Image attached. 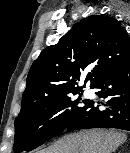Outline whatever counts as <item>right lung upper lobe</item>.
<instances>
[{
    "label": "right lung upper lobe",
    "mask_w": 130,
    "mask_h": 153,
    "mask_svg": "<svg viewBox=\"0 0 130 153\" xmlns=\"http://www.w3.org/2000/svg\"><path fill=\"white\" fill-rule=\"evenodd\" d=\"M129 60L127 31L113 17L91 15L57 44L45 48L33 62L19 115L40 104L82 92L86 83L92 89L101 77ZM87 71L85 83L79 87L80 76Z\"/></svg>",
    "instance_id": "1"
}]
</instances>
